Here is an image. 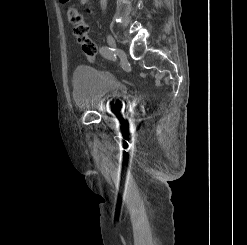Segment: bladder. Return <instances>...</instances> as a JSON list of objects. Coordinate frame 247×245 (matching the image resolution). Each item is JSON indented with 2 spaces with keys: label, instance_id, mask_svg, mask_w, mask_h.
I'll use <instances>...</instances> for the list:
<instances>
[{
  "label": "bladder",
  "instance_id": "1",
  "mask_svg": "<svg viewBox=\"0 0 247 245\" xmlns=\"http://www.w3.org/2000/svg\"><path fill=\"white\" fill-rule=\"evenodd\" d=\"M72 83L74 105L101 113L119 111L130 93L127 82L92 66L77 67Z\"/></svg>",
  "mask_w": 247,
  "mask_h": 245
}]
</instances>
